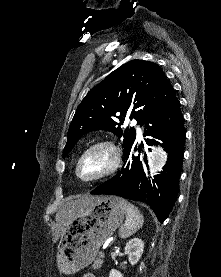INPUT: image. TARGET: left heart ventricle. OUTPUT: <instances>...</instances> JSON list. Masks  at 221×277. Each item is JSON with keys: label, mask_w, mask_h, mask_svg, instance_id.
I'll return each mask as SVG.
<instances>
[{"label": "left heart ventricle", "mask_w": 221, "mask_h": 277, "mask_svg": "<svg viewBox=\"0 0 221 277\" xmlns=\"http://www.w3.org/2000/svg\"><path fill=\"white\" fill-rule=\"evenodd\" d=\"M109 154L104 150H95L87 155L80 164L79 173L82 178H91L101 173L108 166Z\"/></svg>", "instance_id": "b2bd125f"}]
</instances>
